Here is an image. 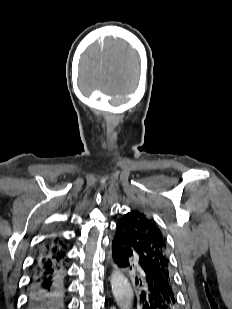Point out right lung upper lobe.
I'll list each match as a JSON object with an SVG mask.
<instances>
[{"label":"right lung upper lobe","instance_id":"right-lung-upper-lobe-1","mask_svg":"<svg viewBox=\"0 0 232 309\" xmlns=\"http://www.w3.org/2000/svg\"><path fill=\"white\" fill-rule=\"evenodd\" d=\"M65 245L58 238L49 239L46 246L39 253V256H54L64 257L65 256Z\"/></svg>","mask_w":232,"mask_h":309}]
</instances>
